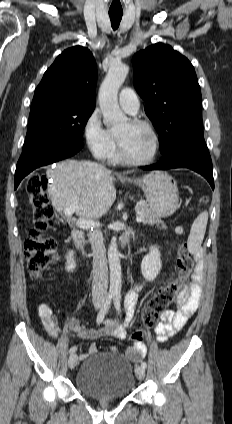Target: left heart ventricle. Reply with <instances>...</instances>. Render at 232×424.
Here are the masks:
<instances>
[{
  "label": "left heart ventricle",
  "mask_w": 232,
  "mask_h": 424,
  "mask_svg": "<svg viewBox=\"0 0 232 424\" xmlns=\"http://www.w3.org/2000/svg\"><path fill=\"white\" fill-rule=\"evenodd\" d=\"M115 134L120 139L127 156L133 159H143L151 154L153 138L145 128L126 121L116 130Z\"/></svg>",
  "instance_id": "1"
}]
</instances>
